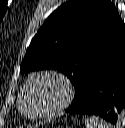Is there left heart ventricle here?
I'll return each instance as SVG.
<instances>
[{
	"instance_id": "b2bd125f",
	"label": "left heart ventricle",
	"mask_w": 125,
	"mask_h": 128,
	"mask_svg": "<svg viewBox=\"0 0 125 128\" xmlns=\"http://www.w3.org/2000/svg\"><path fill=\"white\" fill-rule=\"evenodd\" d=\"M61 97V87L51 79H37L25 94V109L40 113L52 109Z\"/></svg>"
}]
</instances>
